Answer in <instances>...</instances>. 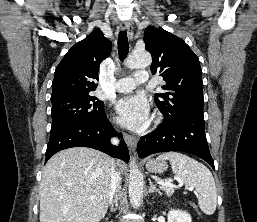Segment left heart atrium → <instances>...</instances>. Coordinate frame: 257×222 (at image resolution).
Masks as SVG:
<instances>
[{"instance_id": "obj_1", "label": "left heart atrium", "mask_w": 257, "mask_h": 222, "mask_svg": "<svg viewBox=\"0 0 257 222\" xmlns=\"http://www.w3.org/2000/svg\"><path fill=\"white\" fill-rule=\"evenodd\" d=\"M116 112L122 125L131 130H141L149 120V105L143 95H129L116 103Z\"/></svg>"}]
</instances>
